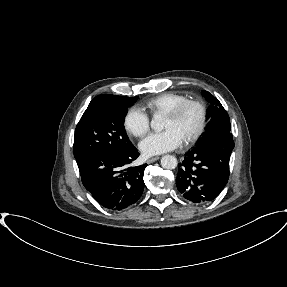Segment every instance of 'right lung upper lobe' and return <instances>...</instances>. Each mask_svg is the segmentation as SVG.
<instances>
[{
    "instance_id": "right-lung-upper-lobe-1",
    "label": "right lung upper lobe",
    "mask_w": 287,
    "mask_h": 287,
    "mask_svg": "<svg viewBox=\"0 0 287 287\" xmlns=\"http://www.w3.org/2000/svg\"><path fill=\"white\" fill-rule=\"evenodd\" d=\"M105 95H108V94L98 95L97 97H95L94 99H92V101L90 102L89 106H90L91 104H93L95 101H97L98 99H100V98H102L103 96H105ZM89 106H88V107H89Z\"/></svg>"
}]
</instances>
